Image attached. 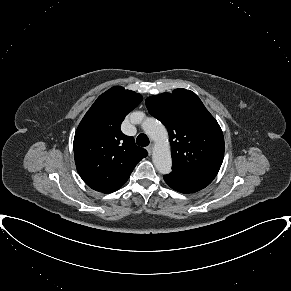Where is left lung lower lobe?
Returning a JSON list of instances; mask_svg holds the SVG:
<instances>
[{
    "label": "left lung lower lobe",
    "mask_w": 291,
    "mask_h": 291,
    "mask_svg": "<svg viewBox=\"0 0 291 291\" xmlns=\"http://www.w3.org/2000/svg\"><path fill=\"white\" fill-rule=\"evenodd\" d=\"M163 178L172 189L181 193L197 192L212 182L211 179L189 176L174 171L164 175Z\"/></svg>",
    "instance_id": "left-lung-lower-lobe-1"
}]
</instances>
